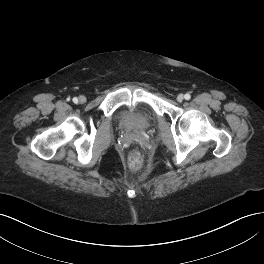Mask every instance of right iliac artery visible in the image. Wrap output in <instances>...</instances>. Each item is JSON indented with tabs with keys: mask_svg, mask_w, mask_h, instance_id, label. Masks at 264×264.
Returning <instances> with one entry per match:
<instances>
[{
	"mask_svg": "<svg viewBox=\"0 0 264 264\" xmlns=\"http://www.w3.org/2000/svg\"><path fill=\"white\" fill-rule=\"evenodd\" d=\"M73 102L74 103H77L78 102V99L76 97L73 98Z\"/></svg>",
	"mask_w": 264,
	"mask_h": 264,
	"instance_id": "right-iliac-artery-1",
	"label": "right iliac artery"
}]
</instances>
